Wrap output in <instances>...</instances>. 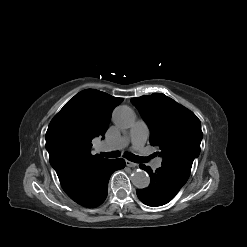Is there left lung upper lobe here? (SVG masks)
<instances>
[{"instance_id":"1","label":"left lung upper lobe","mask_w":247,"mask_h":247,"mask_svg":"<svg viewBox=\"0 0 247 247\" xmlns=\"http://www.w3.org/2000/svg\"><path fill=\"white\" fill-rule=\"evenodd\" d=\"M150 128V144L160 148L162 167L183 181L200 153L203 137L200 120L193 112L161 93L131 99Z\"/></svg>"}]
</instances>
